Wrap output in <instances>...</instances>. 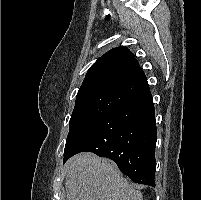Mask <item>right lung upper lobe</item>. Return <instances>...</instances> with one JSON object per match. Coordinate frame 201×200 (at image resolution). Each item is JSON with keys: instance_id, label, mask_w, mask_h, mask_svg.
Wrapping results in <instances>:
<instances>
[{"instance_id": "obj_1", "label": "right lung upper lobe", "mask_w": 201, "mask_h": 200, "mask_svg": "<svg viewBox=\"0 0 201 200\" xmlns=\"http://www.w3.org/2000/svg\"><path fill=\"white\" fill-rule=\"evenodd\" d=\"M91 91H110L133 99L150 89L132 52L120 46L102 55L87 71L78 93Z\"/></svg>"}]
</instances>
